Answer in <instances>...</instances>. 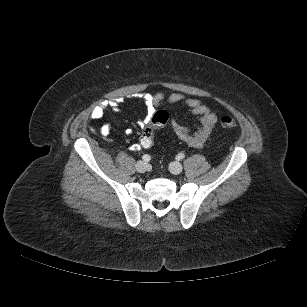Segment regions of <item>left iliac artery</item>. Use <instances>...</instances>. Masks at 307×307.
Returning <instances> with one entry per match:
<instances>
[{
	"label": "left iliac artery",
	"instance_id": "1",
	"mask_svg": "<svg viewBox=\"0 0 307 307\" xmlns=\"http://www.w3.org/2000/svg\"><path fill=\"white\" fill-rule=\"evenodd\" d=\"M183 158H185V154H184V153H179V154L177 155V159H178V160H182Z\"/></svg>",
	"mask_w": 307,
	"mask_h": 307
}]
</instances>
